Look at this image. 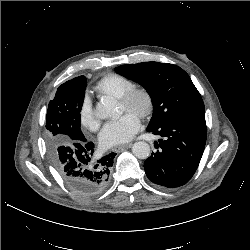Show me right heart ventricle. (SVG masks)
<instances>
[{
    "label": "right heart ventricle",
    "mask_w": 250,
    "mask_h": 250,
    "mask_svg": "<svg viewBox=\"0 0 250 250\" xmlns=\"http://www.w3.org/2000/svg\"><path fill=\"white\" fill-rule=\"evenodd\" d=\"M134 87V82L129 77L112 73L103 77L94 87V90L102 95H110L115 98L122 97Z\"/></svg>",
    "instance_id": "e07e8e85"
}]
</instances>
